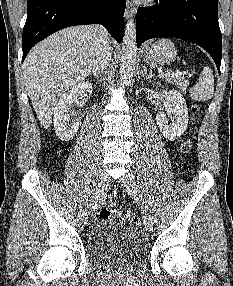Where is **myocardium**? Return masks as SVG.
I'll return each instance as SVG.
<instances>
[{"label": "myocardium", "instance_id": "1", "mask_svg": "<svg viewBox=\"0 0 233 286\" xmlns=\"http://www.w3.org/2000/svg\"><path fill=\"white\" fill-rule=\"evenodd\" d=\"M144 2H146V3H153V2H155L156 0H143Z\"/></svg>", "mask_w": 233, "mask_h": 286}]
</instances>
